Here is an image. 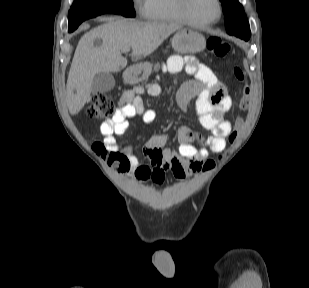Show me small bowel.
Here are the masks:
<instances>
[{"instance_id": "c3829d8e", "label": "small bowel", "mask_w": 309, "mask_h": 288, "mask_svg": "<svg viewBox=\"0 0 309 288\" xmlns=\"http://www.w3.org/2000/svg\"><path fill=\"white\" fill-rule=\"evenodd\" d=\"M167 67L171 73H177L185 67L193 77L192 81L180 86L176 104L181 111H185L191 99L196 97L195 108L199 121L211 132L207 139L201 141V148L192 144L194 140L200 139L185 125L178 129L179 146L176 151L167 147L168 137L165 134H155L149 138L143 152L150 165L139 162L132 146H118L116 136L128 131L129 118L138 117L146 124L156 120L157 113L152 109H145L139 96L145 89L150 95L159 96L160 87L156 84L138 87L123 94L114 115L100 126L107 150L121 152L126 159L120 165V170L130 173L141 182L151 181L156 185L165 181L167 172H171L176 179L183 180L200 171L210 154L221 153L225 149L226 138L232 130V124L226 117L232 106V99L209 67L199 63L193 56L183 59L177 55L169 59Z\"/></svg>"}]
</instances>
